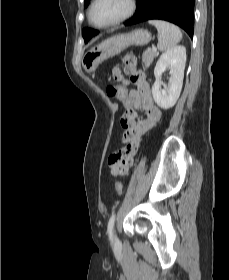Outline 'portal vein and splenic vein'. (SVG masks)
<instances>
[{"label": "portal vein and splenic vein", "instance_id": "portal-vein-and-splenic-vein-1", "mask_svg": "<svg viewBox=\"0 0 229 280\" xmlns=\"http://www.w3.org/2000/svg\"><path fill=\"white\" fill-rule=\"evenodd\" d=\"M152 50H153V51H156L157 49H156V47L153 46V47H152Z\"/></svg>", "mask_w": 229, "mask_h": 280}]
</instances>
